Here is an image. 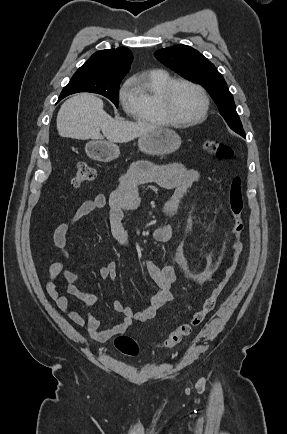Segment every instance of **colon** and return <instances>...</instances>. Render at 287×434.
<instances>
[{"label": "colon", "instance_id": "5ec220e1", "mask_svg": "<svg viewBox=\"0 0 287 434\" xmlns=\"http://www.w3.org/2000/svg\"><path fill=\"white\" fill-rule=\"evenodd\" d=\"M202 147L204 151L213 155L219 160L229 159L233 155V151L230 147L215 140L204 141ZM95 176L96 173L93 167L85 162H80L78 163L75 174L71 179V185L75 188L81 187L93 181ZM228 206L232 217V252L230 264L226 268L222 278L214 285L209 295L205 298L200 309L195 311L187 321L177 325V327L160 344L162 348H173L185 337L189 336L192 330L203 322L207 314L214 309L218 297L224 290L230 277L235 272L238 257L242 250L240 237L244 226L243 214L245 208L242 182L239 177H234L231 181L228 191ZM114 345L119 352L127 356H136L139 351L136 341L130 336L126 335H118L114 339Z\"/></svg>", "mask_w": 287, "mask_h": 434}]
</instances>
